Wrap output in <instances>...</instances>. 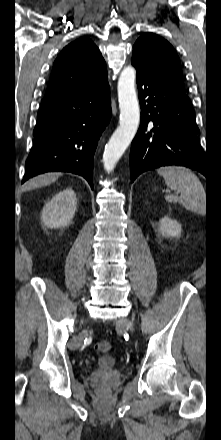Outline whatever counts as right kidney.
Masks as SVG:
<instances>
[{
  "mask_svg": "<svg viewBox=\"0 0 221 440\" xmlns=\"http://www.w3.org/2000/svg\"><path fill=\"white\" fill-rule=\"evenodd\" d=\"M77 206V198L71 188L57 193L45 204L41 212L42 222L49 228L65 227L71 223Z\"/></svg>",
  "mask_w": 221,
  "mask_h": 440,
  "instance_id": "right-kidney-1",
  "label": "right kidney"
}]
</instances>
